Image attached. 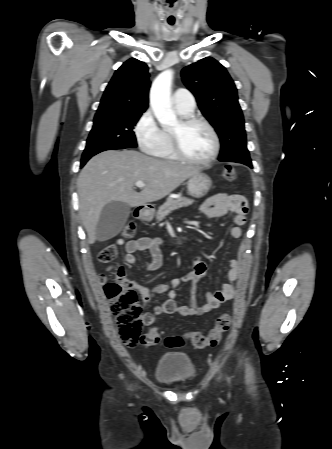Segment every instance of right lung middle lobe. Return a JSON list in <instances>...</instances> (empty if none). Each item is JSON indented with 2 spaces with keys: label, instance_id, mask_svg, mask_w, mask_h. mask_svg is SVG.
Returning <instances> with one entry per match:
<instances>
[{
  "label": "right lung middle lobe",
  "instance_id": "right-lung-middle-lobe-1",
  "mask_svg": "<svg viewBox=\"0 0 332 449\" xmlns=\"http://www.w3.org/2000/svg\"><path fill=\"white\" fill-rule=\"evenodd\" d=\"M141 115L142 112L95 115L82 158L105 150L137 147L133 129Z\"/></svg>",
  "mask_w": 332,
  "mask_h": 449
}]
</instances>
